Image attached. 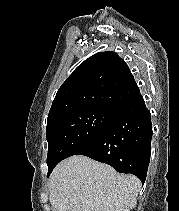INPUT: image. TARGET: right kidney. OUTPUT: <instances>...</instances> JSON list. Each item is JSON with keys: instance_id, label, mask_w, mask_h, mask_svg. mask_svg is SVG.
Listing matches in <instances>:
<instances>
[{"instance_id": "obj_1", "label": "right kidney", "mask_w": 179, "mask_h": 211, "mask_svg": "<svg viewBox=\"0 0 179 211\" xmlns=\"http://www.w3.org/2000/svg\"><path fill=\"white\" fill-rule=\"evenodd\" d=\"M119 211H129V210L125 209V210H119Z\"/></svg>"}]
</instances>
